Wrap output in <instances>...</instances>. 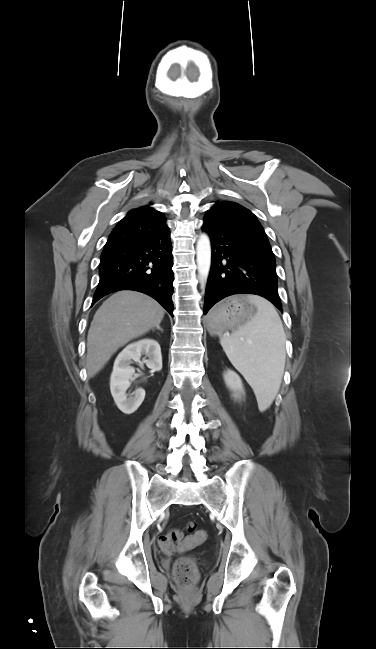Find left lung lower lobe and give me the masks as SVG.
Returning <instances> with one entry per match:
<instances>
[{"label":"left lung lower lobe","instance_id":"0a47b994","mask_svg":"<svg viewBox=\"0 0 376 649\" xmlns=\"http://www.w3.org/2000/svg\"><path fill=\"white\" fill-rule=\"evenodd\" d=\"M202 229L209 235L212 247L204 315L223 298L244 293L262 296L282 311L275 257L269 243L209 215Z\"/></svg>","mask_w":376,"mask_h":649}]
</instances>
